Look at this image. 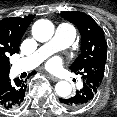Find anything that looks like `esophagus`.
<instances>
[{"instance_id":"1","label":"esophagus","mask_w":117,"mask_h":117,"mask_svg":"<svg viewBox=\"0 0 117 117\" xmlns=\"http://www.w3.org/2000/svg\"><path fill=\"white\" fill-rule=\"evenodd\" d=\"M49 78L54 82L59 81V78H57V77H55L53 75H49Z\"/></svg>"}]
</instances>
